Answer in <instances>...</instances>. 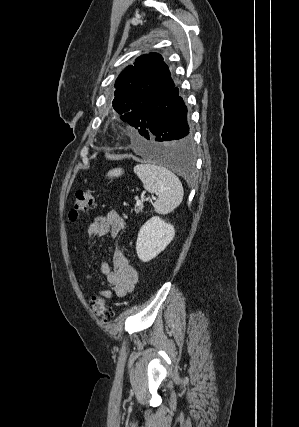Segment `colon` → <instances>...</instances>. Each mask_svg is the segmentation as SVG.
<instances>
[{
    "instance_id": "1",
    "label": "colon",
    "mask_w": 299,
    "mask_h": 427,
    "mask_svg": "<svg viewBox=\"0 0 299 427\" xmlns=\"http://www.w3.org/2000/svg\"><path fill=\"white\" fill-rule=\"evenodd\" d=\"M94 195L89 190H79L76 192L73 207L69 213V219L76 222L81 219L89 209L94 206ZM91 308L94 315L103 322H107L113 316V310L106 305L101 297H94L91 300Z\"/></svg>"
}]
</instances>
